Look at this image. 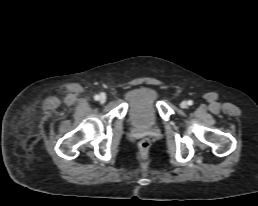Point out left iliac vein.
<instances>
[{
	"label": "left iliac vein",
	"mask_w": 258,
	"mask_h": 206,
	"mask_svg": "<svg viewBox=\"0 0 258 206\" xmlns=\"http://www.w3.org/2000/svg\"><path fill=\"white\" fill-rule=\"evenodd\" d=\"M180 106H181V108H187L188 102L183 101V102H181Z\"/></svg>",
	"instance_id": "1"
}]
</instances>
